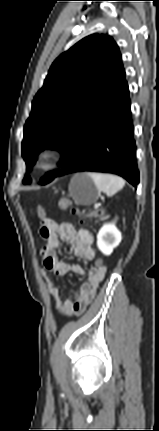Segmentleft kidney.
I'll list each match as a JSON object with an SVG mask.
<instances>
[{
    "label": "left kidney",
    "mask_w": 159,
    "mask_h": 431,
    "mask_svg": "<svg viewBox=\"0 0 159 431\" xmlns=\"http://www.w3.org/2000/svg\"><path fill=\"white\" fill-rule=\"evenodd\" d=\"M121 239L122 235L114 223L104 224L97 235V246L104 255L108 256L119 245Z\"/></svg>",
    "instance_id": "obj_1"
}]
</instances>
